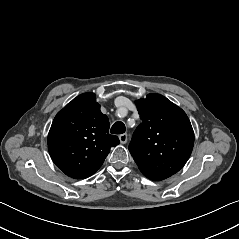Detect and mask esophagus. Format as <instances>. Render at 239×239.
<instances>
[{
    "instance_id": "1",
    "label": "esophagus",
    "mask_w": 239,
    "mask_h": 239,
    "mask_svg": "<svg viewBox=\"0 0 239 239\" xmlns=\"http://www.w3.org/2000/svg\"><path fill=\"white\" fill-rule=\"evenodd\" d=\"M128 136L127 134H121L119 135V140L122 144H125L127 142Z\"/></svg>"
}]
</instances>
